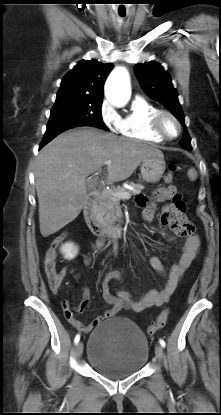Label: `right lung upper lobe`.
<instances>
[{
    "instance_id": "obj_1",
    "label": "right lung upper lobe",
    "mask_w": 221,
    "mask_h": 415,
    "mask_svg": "<svg viewBox=\"0 0 221 415\" xmlns=\"http://www.w3.org/2000/svg\"><path fill=\"white\" fill-rule=\"evenodd\" d=\"M113 64L82 60L62 79L57 95L91 96L103 99V85Z\"/></svg>"
}]
</instances>
